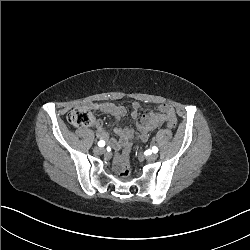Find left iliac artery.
<instances>
[{"instance_id":"1","label":"left iliac artery","mask_w":250,"mask_h":250,"mask_svg":"<svg viewBox=\"0 0 250 250\" xmlns=\"http://www.w3.org/2000/svg\"><path fill=\"white\" fill-rule=\"evenodd\" d=\"M152 152L153 153H157L158 152V148L156 146L152 147Z\"/></svg>"}]
</instances>
